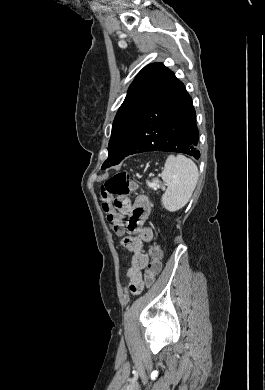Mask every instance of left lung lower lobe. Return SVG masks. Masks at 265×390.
<instances>
[{
	"label": "left lung lower lobe",
	"mask_w": 265,
	"mask_h": 390,
	"mask_svg": "<svg viewBox=\"0 0 265 390\" xmlns=\"http://www.w3.org/2000/svg\"><path fill=\"white\" fill-rule=\"evenodd\" d=\"M198 140L192 98L171 72L144 109L136 136L124 158L136 153L165 151L199 159Z\"/></svg>",
	"instance_id": "0a47b994"
}]
</instances>
